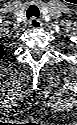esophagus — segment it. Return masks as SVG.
Here are the masks:
<instances>
[{
	"label": "esophagus",
	"instance_id": "34e87169",
	"mask_svg": "<svg viewBox=\"0 0 77 125\" xmlns=\"http://www.w3.org/2000/svg\"><path fill=\"white\" fill-rule=\"evenodd\" d=\"M30 27L33 29H38L41 27V22L37 18H31L29 21Z\"/></svg>",
	"mask_w": 77,
	"mask_h": 125
}]
</instances>
